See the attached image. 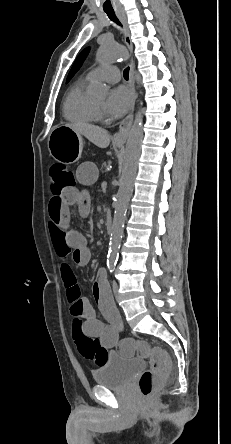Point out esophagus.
Masks as SVG:
<instances>
[{
  "label": "esophagus",
  "instance_id": "34e87169",
  "mask_svg": "<svg viewBox=\"0 0 231 444\" xmlns=\"http://www.w3.org/2000/svg\"><path fill=\"white\" fill-rule=\"evenodd\" d=\"M117 16L123 26L124 30V40L129 48V50L132 49V42L130 39V31L128 28L126 16L123 11H117ZM130 73H129V86L131 88L133 101H132V109L129 115H127L120 123L119 130L114 134L113 141L117 143H124L128 137L132 122H133V112H134V106H135V100H136V91L134 86V70H133V64L130 63Z\"/></svg>",
  "mask_w": 231,
  "mask_h": 444
}]
</instances>
